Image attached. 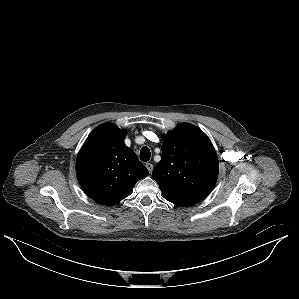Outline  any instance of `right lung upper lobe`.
<instances>
[{"label": "right lung upper lobe", "mask_w": 299, "mask_h": 299, "mask_svg": "<svg viewBox=\"0 0 299 299\" xmlns=\"http://www.w3.org/2000/svg\"><path fill=\"white\" fill-rule=\"evenodd\" d=\"M126 131L111 123L96 127L76 161L80 186L99 204L113 205L126 198L136 182L148 175L146 167L124 144Z\"/></svg>", "instance_id": "right-lung-upper-lobe-1"}]
</instances>
